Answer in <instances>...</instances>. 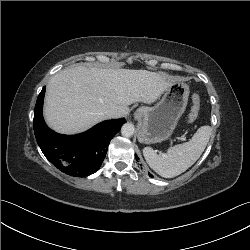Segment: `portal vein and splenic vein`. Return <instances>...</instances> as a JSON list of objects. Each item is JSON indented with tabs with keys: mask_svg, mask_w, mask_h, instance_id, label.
Returning a JSON list of instances; mask_svg holds the SVG:
<instances>
[{
	"mask_svg": "<svg viewBox=\"0 0 250 250\" xmlns=\"http://www.w3.org/2000/svg\"><path fill=\"white\" fill-rule=\"evenodd\" d=\"M180 140H185L186 138L184 136L179 137Z\"/></svg>",
	"mask_w": 250,
	"mask_h": 250,
	"instance_id": "18ae733b",
	"label": "portal vein and splenic vein"
}]
</instances>
